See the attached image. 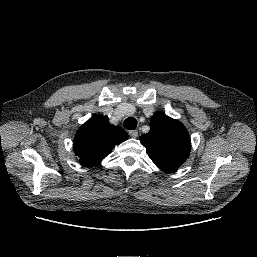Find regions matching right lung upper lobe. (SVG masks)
I'll use <instances>...</instances> for the list:
<instances>
[{"mask_svg":"<svg viewBox=\"0 0 257 257\" xmlns=\"http://www.w3.org/2000/svg\"><path fill=\"white\" fill-rule=\"evenodd\" d=\"M128 135L119 127L110 125L108 117L94 115L78 130L74 151L84 166L99 164Z\"/></svg>","mask_w":257,"mask_h":257,"instance_id":"1","label":"right lung upper lobe"}]
</instances>
